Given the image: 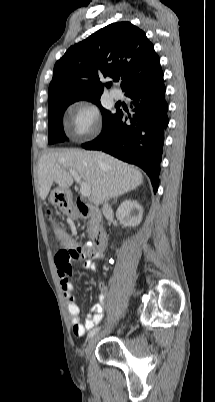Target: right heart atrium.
<instances>
[{
	"label": "right heart atrium",
	"instance_id": "1",
	"mask_svg": "<svg viewBox=\"0 0 215 402\" xmlns=\"http://www.w3.org/2000/svg\"><path fill=\"white\" fill-rule=\"evenodd\" d=\"M70 129L73 137L86 140L98 130L100 113L98 108L88 101H78L70 110Z\"/></svg>",
	"mask_w": 215,
	"mask_h": 402
}]
</instances>
